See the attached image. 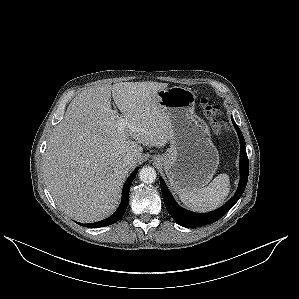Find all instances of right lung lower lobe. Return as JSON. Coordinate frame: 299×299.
<instances>
[{"instance_id": "right-lung-lower-lobe-1", "label": "right lung lower lobe", "mask_w": 299, "mask_h": 299, "mask_svg": "<svg viewBox=\"0 0 299 299\" xmlns=\"http://www.w3.org/2000/svg\"><path fill=\"white\" fill-rule=\"evenodd\" d=\"M138 169H135L131 175L129 176V178L126 180L124 187H123V193H122V201L118 207V209L116 210V212L114 214H112L110 217H108L107 219H104L102 221L99 222H95V223H90V224H83V223H78L79 225H82L84 227H89V228H97V227H104V226H108L111 225L115 222H117L119 219L122 218V216L124 215L127 205H128V197H129V190L131 187V184L137 174Z\"/></svg>"}]
</instances>
